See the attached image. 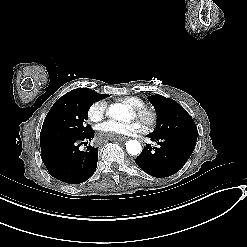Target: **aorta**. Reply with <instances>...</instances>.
I'll list each match as a JSON object with an SVG mask.
<instances>
[{"mask_svg": "<svg viewBox=\"0 0 247 247\" xmlns=\"http://www.w3.org/2000/svg\"><path fill=\"white\" fill-rule=\"evenodd\" d=\"M107 115L116 120L126 121L129 118V111L126 105L115 103L109 106ZM126 150L131 155H138L141 153L142 147L137 140H129L126 143Z\"/></svg>", "mask_w": 247, "mask_h": 247, "instance_id": "obj_1", "label": "aorta"}]
</instances>
